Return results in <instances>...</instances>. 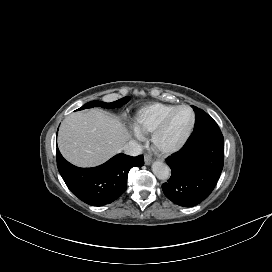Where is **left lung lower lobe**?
I'll use <instances>...</instances> for the list:
<instances>
[{
  "instance_id": "1",
  "label": "left lung lower lobe",
  "mask_w": 272,
  "mask_h": 272,
  "mask_svg": "<svg viewBox=\"0 0 272 272\" xmlns=\"http://www.w3.org/2000/svg\"><path fill=\"white\" fill-rule=\"evenodd\" d=\"M166 162L172 172L162 185L165 196L183 207L199 204L210 195L223 169L224 138L218 125L192 134Z\"/></svg>"
}]
</instances>
